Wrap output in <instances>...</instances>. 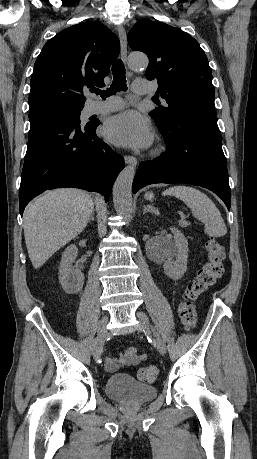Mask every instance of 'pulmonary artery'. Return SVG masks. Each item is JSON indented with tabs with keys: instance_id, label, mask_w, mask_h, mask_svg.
I'll return each mask as SVG.
<instances>
[{
	"instance_id": "1",
	"label": "pulmonary artery",
	"mask_w": 257,
	"mask_h": 459,
	"mask_svg": "<svg viewBox=\"0 0 257 459\" xmlns=\"http://www.w3.org/2000/svg\"><path fill=\"white\" fill-rule=\"evenodd\" d=\"M145 80H135L133 82V92L136 95L148 94L152 92V89L146 85ZM124 106L122 99L118 97H112L105 102L93 101L87 106L88 114H99L107 113L121 109Z\"/></svg>"
}]
</instances>
